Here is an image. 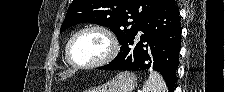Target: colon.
Returning a JSON list of instances; mask_svg holds the SVG:
<instances>
[{"instance_id": "obj_1", "label": "colon", "mask_w": 225, "mask_h": 92, "mask_svg": "<svg viewBox=\"0 0 225 92\" xmlns=\"http://www.w3.org/2000/svg\"><path fill=\"white\" fill-rule=\"evenodd\" d=\"M67 78V74H62L60 77H59V81L62 82L64 81L65 79Z\"/></svg>"}]
</instances>
